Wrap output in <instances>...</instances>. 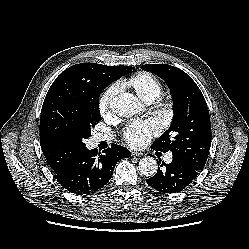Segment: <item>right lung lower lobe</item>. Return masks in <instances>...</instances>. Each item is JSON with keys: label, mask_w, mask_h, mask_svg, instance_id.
<instances>
[{"label": "right lung lower lobe", "mask_w": 249, "mask_h": 249, "mask_svg": "<svg viewBox=\"0 0 249 249\" xmlns=\"http://www.w3.org/2000/svg\"><path fill=\"white\" fill-rule=\"evenodd\" d=\"M103 153L97 157L94 150L84 149L55 173L57 181L76 195L86 196L100 191L111 179L116 163L131 155L128 149L117 144H112Z\"/></svg>", "instance_id": "98d812e1"}]
</instances>
